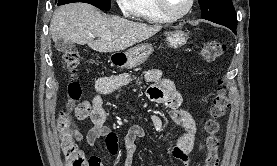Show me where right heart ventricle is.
<instances>
[{"label": "right heart ventricle", "mask_w": 277, "mask_h": 166, "mask_svg": "<svg viewBox=\"0 0 277 166\" xmlns=\"http://www.w3.org/2000/svg\"><path fill=\"white\" fill-rule=\"evenodd\" d=\"M131 13L151 24H162L170 21L160 13L155 0H134Z\"/></svg>", "instance_id": "right-heart-ventricle-1"}]
</instances>
